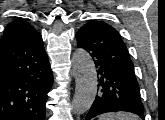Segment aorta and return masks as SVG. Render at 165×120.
<instances>
[{"label": "aorta", "mask_w": 165, "mask_h": 120, "mask_svg": "<svg viewBox=\"0 0 165 120\" xmlns=\"http://www.w3.org/2000/svg\"><path fill=\"white\" fill-rule=\"evenodd\" d=\"M73 72L76 80L72 105L74 113L86 112L97 94V72L90 54L84 49H77L72 57Z\"/></svg>", "instance_id": "aorta-1"}]
</instances>
